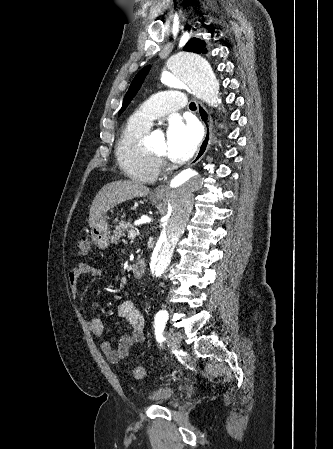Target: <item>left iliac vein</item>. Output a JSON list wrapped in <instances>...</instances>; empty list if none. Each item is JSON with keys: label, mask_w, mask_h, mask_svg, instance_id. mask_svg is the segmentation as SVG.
Masks as SVG:
<instances>
[{"label": "left iliac vein", "mask_w": 333, "mask_h": 449, "mask_svg": "<svg viewBox=\"0 0 333 449\" xmlns=\"http://www.w3.org/2000/svg\"><path fill=\"white\" fill-rule=\"evenodd\" d=\"M167 341L171 348L175 351L180 349L181 336L177 332H168L166 334Z\"/></svg>", "instance_id": "left-iliac-vein-1"}]
</instances>
